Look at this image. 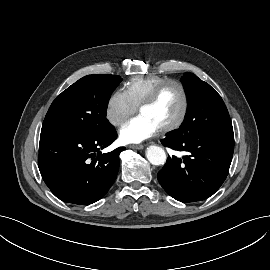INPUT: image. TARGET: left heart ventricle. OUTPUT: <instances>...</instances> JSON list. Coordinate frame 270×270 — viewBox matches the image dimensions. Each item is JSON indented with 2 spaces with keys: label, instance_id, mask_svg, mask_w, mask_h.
Wrapping results in <instances>:
<instances>
[{
  "label": "left heart ventricle",
  "instance_id": "obj_1",
  "mask_svg": "<svg viewBox=\"0 0 270 270\" xmlns=\"http://www.w3.org/2000/svg\"><path fill=\"white\" fill-rule=\"evenodd\" d=\"M182 109V96L179 88L169 85L163 89L157 100L140 111L161 129L175 122Z\"/></svg>",
  "mask_w": 270,
  "mask_h": 270
}]
</instances>
